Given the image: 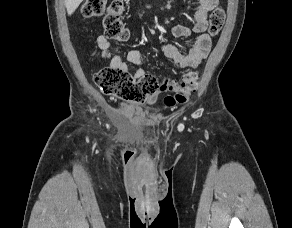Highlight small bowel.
<instances>
[{"label": "small bowel", "instance_id": "obj_1", "mask_svg": "<svg viewBox=\"0 0 292 228\" xmlns=\"http://www.w3.org/2000/svg\"><path fill=\"white\" fill-rule=\"evenodd\" d=\"M219 0H198L194 7L193 24L192 26L176 25L172 27L171 33L174 37H187L194 35V39L190 50L183 53L174 44L166 43L161 45V51L167 57L173 60L175 69H185L192 71L208 56L212 41L206 33L208 27L207 17L209 13L217 6ZM97 44L102 51L105 59L110 61V67L128 71L127 63L118 55L110 54V42L105 35H100L97 38ZM129 63L138 66L133 77L140 79L146 72L141 65L144 60L143 53L139 50H131L127 55ZM155 96L148 99V103H153Z\"/></svg>", "mask_w": 292, "mask_h": 228}]
</instances>
